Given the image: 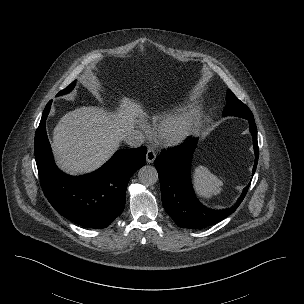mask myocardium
I'll return each mask as SVG.
<instances>
[{
    "label": "myocardium",
    "mask_w": 304,
    "mask_h": 304,
    "mask_svg": "<svg viewBox=\"0 0 304 304\" xmlns=\"http://www.w3.org/2000/svg\"><path fill=\"white\" fill-rule=\"evenodd\" d=\"M200 114L189 109L165 118L157 129L158 140L166 146H175L184 142L199 124Z\"/></svg>",
    "instance_id": "f54148a6"
}]
</instances>
